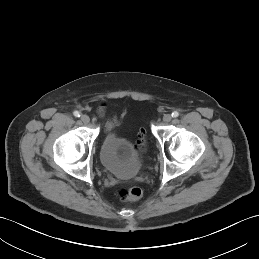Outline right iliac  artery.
Returning <instances> with one entry per match:
<instances>
[{"label": "right iliac artery", "instance_id": "1", "mask_svg": "<svg viewBox=\"0 0 259 259\" xmlns=\"http://www.w3.org/2000/svg\"><path fill=\"white\" fill-rule=\"evenodd\" d=\"M73 114H74L75 117H80V113L78 111H74Z\"/></svg>", "mask_w": 259, "mask_h": 259}]
</instances>
